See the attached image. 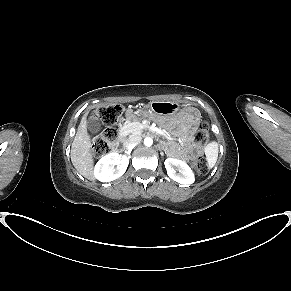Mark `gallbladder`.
Segmentation results:
<instances>
[{"instance_id": "bac80fb5", "label": "gallbladder", "mask_w": 291, "mask_h": 291, "mask_svg": "<svg viewBox=\"0 0 291 291\" xmlns=\"http://www.w3.org/2000/svg\"><path fill=\"white\" fill-rule=\"evenodd\" d=\"M87 128L92 133H97L101 128V123L96 115H91L87 119Z\"/></svg>"}]
</instances>
